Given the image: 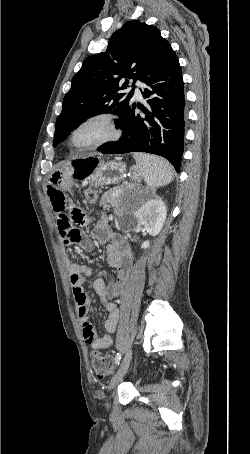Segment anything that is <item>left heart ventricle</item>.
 <instances>
[{
	"label": "left heart ventricle",
	"instance_id": "b2bd125f",
	"mask_svg": "<svg viewBox=\"0 0 250 454\" xmlns=\"http://www.w3.org/2000/svg\"><path fill=\"white\" fill-rule=\"evenodd\" d=\"M103 134H104V130L102 127L91 126V127L85 128L82 131H80L77 134L75 141H76V143H78L80 145H84V144L90 143V142L98 139Z\"/></svg>",
	"mask_w": 250,
	"mask_h": 454
}]
</instances>
